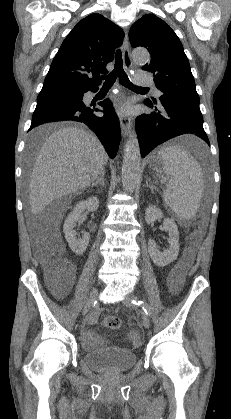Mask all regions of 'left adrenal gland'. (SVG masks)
Here are the masks:
<instances>
[{
	"mask_svg": "<svg viewBox=\"0 0 231 419\" xmlns=\"http://www.w3.org/2000/svg\"><path fill=\"white\" fill-rule=\"evenodd\" d=\"M149 182H150V179L147 178L145 186L149 187L151 189V192L154 193V187L152 184H149Z\"/></svg>",
	"mask_w": 231,
	"mask_h": 419,
	"instance_id": "obj_1",
	"label": "left adrenal gland"
}]
</instances>
